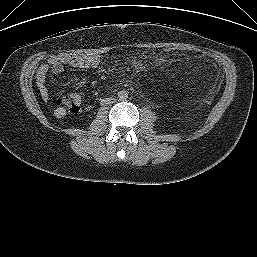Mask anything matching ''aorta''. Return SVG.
Instances as JSON below:
<instances>
[{
  "label": "aorta",
  "instance_id": "1",
  "mask_svg": "<svg viewBox=\"0 0 257 257\" xmlns=\"http://www.w3.org/2000/svg\"><path fill=\"white\" fill-rule=\"evenodd\" d=\"M118 98L123 101L127 100L128 99V91H126V90L119 91Z\"/></svg>",
  "mask_w": 257,
  "mask_h": 257
}]
</instances>
